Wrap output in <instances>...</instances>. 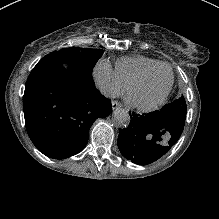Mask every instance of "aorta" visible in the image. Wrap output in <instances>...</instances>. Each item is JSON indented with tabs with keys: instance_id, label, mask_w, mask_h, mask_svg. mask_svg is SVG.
<instances>
[{
	"instance_id": "1",
	"label": "aorta",
	"mask_w": 219,
	"mask_h": 219,
	"mask_svg": "<svg viewBox=\"0 0 219 219\" xmlns=\"http://www.w3.org/2000/svg\"><path fill=\"white\" fill-rule=\"evenodd\" d=\"M111 120L115 127L124 128L130 123V115L125 109H116L112 113Z\"/></svg>"
}]
</instances>
